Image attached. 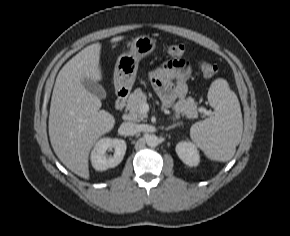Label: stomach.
Segmentation results:
<instances>
[{
  "instance_id": "0dacf381",
  "label": "stomach",
  "mask_w": 290,
  "mask_h": 236,
  "mask_svg": "<svg viewBox=\"0 0 290 236\" xmlns=\"http://www.w3.org/2000/svg\"><path fill=\"white\" fill-rule=\"evenodd\" d=\"M156 48V42L148 36H139L132 40L130 50L121 54L114 70V85L116 89H131L138 69L139 61L151 54Z\"/></svg>"
}]
</instances>
